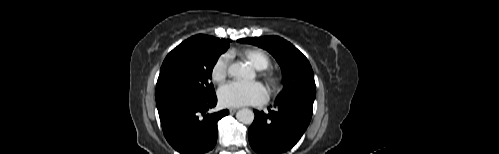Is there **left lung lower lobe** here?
Here are the masks:
<instances>
[{"mask_svg":"<svg viewBox=\"0 0 499 154\" xmlns=\"http://www.w3.org/2000/svg\"><path fill=\"white\" fill-rule=\"evenodd\" d=\"M315 97L292 96L276 101L268 113L254 110L249 143L260 154H280L291 149L307 129Z\"/></svg>","mask_w":499,"mask_h":154,"instance_id":"0a47b994","label":"left lung lower lobe"}]
</instances>
